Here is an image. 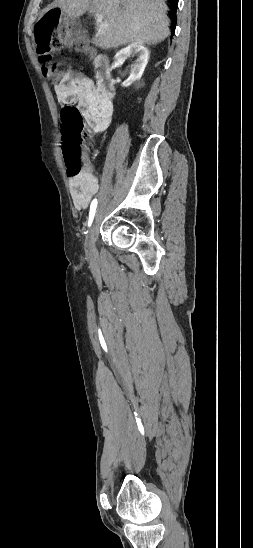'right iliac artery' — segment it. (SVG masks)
Instances as JSON below:
<instances>
[{
  "mask_svg": "<svg viewBox=\"0 0 253 548\" xmlns=\"http://www.w3.org/2000/svg\"><path fill=\"white\" fill-rule=\"evenodd\" d=\"M96 207H97V199H94L91 203V206H90V214H89V221H88L89 226L91 225V223L94 219L95 212H96Z\"/></svg>",
  "mask_w": 253,
  "mask_h": 548,
  "instance_id": "82829eb1",
  "label": "right iliac artery"
}]
</instances>
